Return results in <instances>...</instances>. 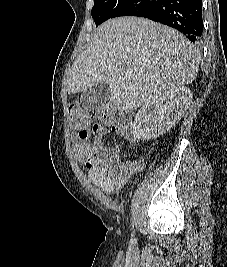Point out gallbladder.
<instances>
[{"label": "gallbladder", "instance_id": "gallbladder-1", "mask_svg": "<svg viewBox=\"0 0 227 267\" xmlns=\"http://www.w3.org/2000/svg\"><path fill=\"white\" fill-rule=\"evenodd\" d=\"M110 87L101 83L82 92L80 103L88 111L101 110L109 100Z\"/></svg>", "mask_w": 227, "mask_h": 267}]
</instances>
